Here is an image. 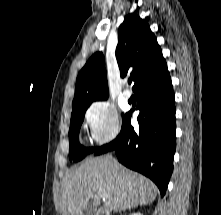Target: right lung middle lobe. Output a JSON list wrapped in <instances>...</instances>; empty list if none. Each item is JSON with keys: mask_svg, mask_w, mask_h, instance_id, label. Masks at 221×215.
<instances>
[{"mask_svg": "<svg viewBox=\"0 0 221 215\" xmlns=\"http://www.w3.org/2000/svg\"><path fill=\"white\" fill-rule=\"evenodd\" d=\"M91 103H83L72 105L73 111L71 114L70 120V129H69V158L70 160L80 161L82 160L87 154L92 153L96 148H84L78 142V134L82 122L84 120V114L87 108L90 106Z\"/></svg>", "mask_w": 221, "mask_h": 215, "instance_id": "1", "label": "right lung middle lobe"}]
</instances>
